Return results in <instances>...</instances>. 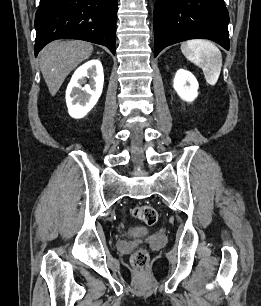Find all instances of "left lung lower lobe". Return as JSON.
<instances>
[{"instance_id": "obj_1", "label": "left lung lower lobe", "mask_w": 261, "mask_h": 306, "mask_svg": "<svg viewBox=\"0 0 261 306\" xmlns=\"http://www.w3.org/2000/svg\"><path fill=\"white\" fill-rule=\"evenodd\" d=\"M228 23L224 0H157L154 56L169 45L193 38H207L229 50Z\"/></svg>"}]
</instances>
